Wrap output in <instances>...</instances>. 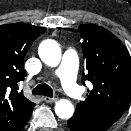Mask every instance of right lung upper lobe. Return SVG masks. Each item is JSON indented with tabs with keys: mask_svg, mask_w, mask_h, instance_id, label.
I'll return each instance as SVG.
<instances>
[{
	"mask_svg": "<svg viewBox=\"0 0 131 131\" xmlns=\"http://www.w3.org/2000/svg\"><path fill=\"white\" fill-rule=\"evenodd\" d=\"M46 28L26 23L0 26V131H20L30 119L35 104L19 91L24 80V57Z\"/></svg>",
	"mask_w": 131,
	"mask_h": 131,
	"instance_id": "1",
	"label": "right lung upper lobe"
}]
</instances>
